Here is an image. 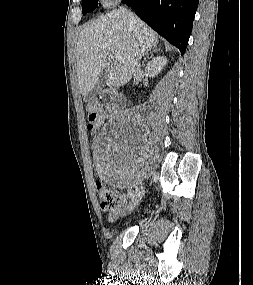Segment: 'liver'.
<instances>
[{"label":"liver","instance_id":"1","mask_svg":"<svg viewBox=\"0 0 253 285\" xmlns=\"http://www.w3.org/2000/svg\"><path fill=\"white\" fill-rule=\"evenodd\" d=\"M135 19V25H131L127 10H113L81 30L76 55L82 95H87L94 88L110 64L106 85H125L131 79L135 64L141 56L156 47L157 33L141 19ZM117 56L119 59H116Z\"/></svg>","mask_w":253,"mask_h":285}]
</instances>
